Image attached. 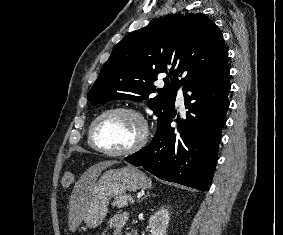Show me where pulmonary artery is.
<instances>
[{
    "mask_svg": "<svg viewBox=\"0 0 283 235\" xmlns=\"http://www.w3.org/2000/svg\"><path fill=\"white\" fill-rule=\"evenodd\" d=\"M182 91H183V87L181 86L179 88V93L177 95V103L182 106L183 105V102H184V98H183V95H182Z\"/></svg>",
    "mask_w": 283,
    "mask_h": 235,
    "instance_id": "pulmonary-artery-1",
    "label": "pulmonary artery"
}]
</instances>
